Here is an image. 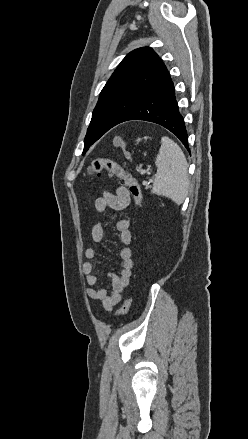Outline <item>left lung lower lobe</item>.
<instances>
[{"instance_id":"1","label":"left lung lower lobe","mask_w":248,"mask_h":439,"mask_svg":"<svg viewBox=\"0 0 248 439\" xmlns=\"http://www.w3.org/2000/svg\"><path fill=\"white\" fill-rule=\"evenodd\" d=\"M130 120L149 121L165 127L190 152L184 119L179 112L174 85L167 69L119 123Z\"/></svg>"}]
</instances>
